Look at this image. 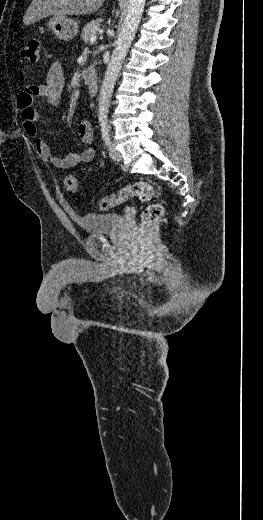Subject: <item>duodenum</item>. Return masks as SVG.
<instances>
[{
  "mask_svg": "<svg viewBox=\"0 0 263 520\" xmlns=\"http://www.w3.org/2000/svg\"><path fill=\"white\" fill-rule=\"evenodd\" d=\"M88 91L91 96H95L98 93V81L93 76L87 77Z\"/></svg>",
  "mask_w": 263,
  "mask_h": 520,
  "instance_id": "1",
  "label": "duodenum"
}]
</instances>
